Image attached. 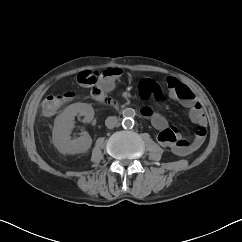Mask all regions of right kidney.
Returning a JSON list of instances; mask_svg holds the SVG:
<instances>
[{"label": "right kidney", "mask_w": 242, "mask_h": 242, "mask_svg": "<svg viewBox=\"0 0 242 242\" xmlns=\"http://www.w3.org/2000/svg\"><path fill=\"white\" fill-rule=\"evenodd\" d=\"M77 115L84 116V122L89 123L94 118V109L90 104L77 102L66 107L55 119L52 141L62 154L85 153L92 145V139L86 132L77 139H71L73 120Z\"/></svg>", "instance_id": "ca27d5eb"}]
</instances>
